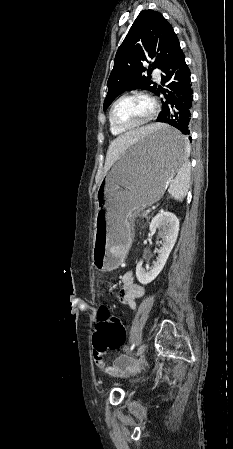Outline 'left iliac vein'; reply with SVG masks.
<instances>
[{
	"instance_id": "1",
	"label": "left iliac vein",
	"mask_w": 233,
	"mask_h": 449,
	"mask_svg": "<svg viewBox=\"0 0 233 449\" xmlns=\"http://www.w3.org/2000/svg\"><path fill=\"white\" fill-rule=\"evenodd\" d=\"M146 346H147L146 343H143V344L139 347V349H138V351H137L135 357L132 359V362H133V361H136V359H137L138 357H140V356L143 355V353L145 352Z\"/></svg>"
}]
</instances>
